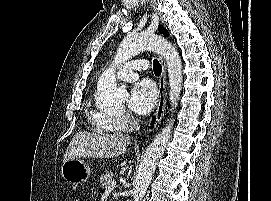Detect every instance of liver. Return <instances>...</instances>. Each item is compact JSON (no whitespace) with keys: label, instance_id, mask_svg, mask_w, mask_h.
Wrapping results in <instances>:
<instances>
[{"label":"liver","instance_id":"obj_1","mask_svg":"<svg viewBox=\"0 0 271 201\" xmlns=\"http://www.w3.org/2000/svg\"><path fill=\"white\" fill-rule=\"evenodd\" d=\"M129 144V135L80 131L71 139L63 163L78 158H113L123 154Z\"/></svg>","mask_w":271,"mask_h":201}]
</instances>
